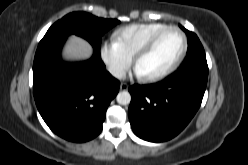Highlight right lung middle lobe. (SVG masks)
<instances>
[{
  "label": "right lung middle lobe",
  "mask_w": 248,
  "mask_h": 165,
  "mask_svg": "<svg viewBox=\"0 0 248 165\" xmlns=\"http://www.w3.org/2000/svg\"><path fill=\"white\" fill-rule=\"evenodd\" d=\"M119 22L116 19L98 18L85 12H73L55 22L39 44L75 34L88 40L94 50L100 53L102 35Z\"/></svg>",
  "instance_id": "dd1d6c3e"
}]
</instances>
